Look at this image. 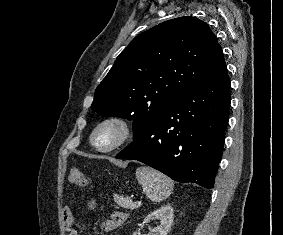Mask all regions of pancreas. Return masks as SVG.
<instances>
[{"mask_svg": "<svg viewBox=\"0 0 283 235\" xmlns=\"http://www.w3.org/2000/svg\"><path fill=\"white\" fill-rule=\"evenodd\" d=\"M114 201L121 207L125 208V209H136L138 208L140 205H138L136 202H132V200L128 197H123V196H118L115 195L114 196Z\"/></svg>", "mask_w": 283, "mask_h": 235, "instance_id": "1", "label": "pancreas"}]
</instances>
